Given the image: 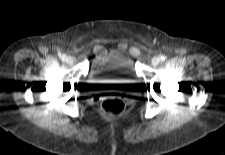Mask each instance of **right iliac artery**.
<instances>
[{"instance_id": "82829eb1", "label": "right iliac artery", "mask_w": 225, "mask_h": 155, "mask_svg": "<svg viewBox=\"0 0 225 155\" xmlns=\"http://www.w3.org/2000/svg\"><path fill=\"white\" fill-rule=\"evenodd\" d=\"M60 58H61L62 60H65L66 55H65V54H60Z\"/></svg>"}]
</instances>
